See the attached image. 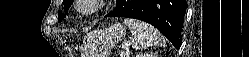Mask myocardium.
Masks as SVG:
<instances>
[{"label":"myocardium","instance_id":"myocardium-1","mask_svg":"<svg viewBox=\"0 0 249 57\" xmlns=\"http://www.w3.org/2000/svg\"><path fill=\"white\" fill-rule=\"evenodd\" d=\"M105 3V0H76L74 8L79 15L89 16L99 12Z\"/></svg>","mask_w":249,"mask_h":57}]
</instances>
